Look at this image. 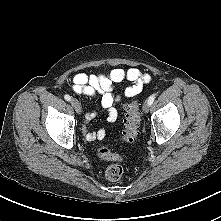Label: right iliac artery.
I'll list each match as a JSON object with an SVG mask.
<instances>
[{"label": "right iliac artery", "mask_w": 221, "mask_h": 221, "mask_svg": "<svg viewBox=\"0 0 221 221\" xmlns=\"http://www.w3.org/2000/svg\"><path fill=\"white\" fill-rule=\"evenodd\" d=\"M64 98H65V100H67V101H70V100H71V97H70L69 95H65Z\"/></svg>", "instance_id": "obj_1"}]
</instances>
